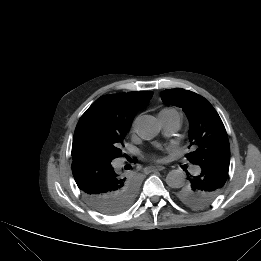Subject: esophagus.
<instances>
[{"label": "esophagus", "instance_id": "esophagus-1", "mask_svg": "<svg viewBox=\"0 0 261 261\" xmlns=\"http://www.w3.org/2000/svg\"><path fill=\"white\" fill-rule=\"evenodd\" d=\"M164 169H165V167H163V166H154V167L146 168L145 172L150 173V172L162 171Z\"/></svg>", "mask_w": 261, "mask_h": 261}]
</instances>
